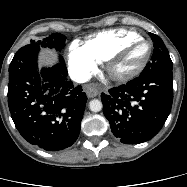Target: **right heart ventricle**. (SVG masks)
<instances>
[{
  "label": "right heart ventricle",
  "mask_w": 187,
  "mask_h": 187,
  "mask_svg": "<svg viewBox=\"0 0 187 187\" xmlns=\"http://www.w3.org/2000/svg\"><path fill=\"white\" fill-rule=\"evenodd\" d=\"M139 37L141 35L132 30L110 29L88 37L82 44L97 62L102 63L121 45Z\"/></svg>",
  "instance_id": "right-heart-ventricle-1"
}]
</instances>
